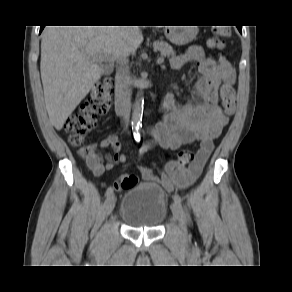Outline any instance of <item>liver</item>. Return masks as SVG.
Returning a JSON list of instances; mask_svg holds the SVG:
<instances>
[{"mask_svg":"<svg viewBox=\"0 0 292 292\" xmlns=\"http://www.w3.org/2000/svg\"><path fill=\"white\" fill-rule=\"evenodd\" d=\"M143 41L139 26H47L42 33L40 72L51 124L61 130L67 118L103 74L90 54L119 61Z\"/></svg>","mask_w":292,"mask_h":292,"instance_id":"6515ba94","label":"liver"}]
</instances>
